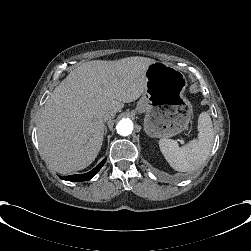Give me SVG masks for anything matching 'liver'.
<instances>
[{"label":"liver","mask_w":251,"mask_h":251,"mask_svg":"<svg viewBox=\"0 0 251 251\" xmlns=\"http://www.w3.org/2000/svg\"><path fill=\"white\" fill-rule=\"evenodd\" d=\"M152 62L142 56L91 60L59 83L38 122L39 150L56 172L79 171L94 161L104 123L144 92L146 67Z\"/></svg>","instance_id":"liver-1"}]
</instances>
